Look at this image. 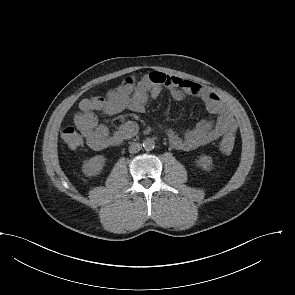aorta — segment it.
I'll list each match as a JSON object with an SVG mask.
<instances>
[{
	"mask_svg": "<svg viewBox=\"0 0 295 295\" xmlns=\"http://www.w3.org/2000/svg\"><path fill=\"white\" fill-rule=\"evenodd\" d=\"M154 146H155V142L150 138H147L143 141V147L147 151L154 149Z\"/></svg>",
	"mask_w": 295,
	"mask_h": 295,
	"instance_id": "1",
	"label": "aorta"
}]
</instances>
